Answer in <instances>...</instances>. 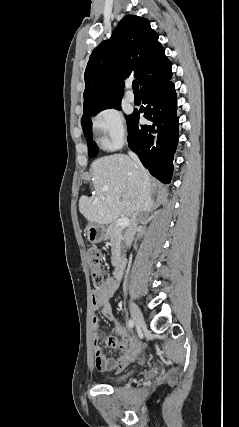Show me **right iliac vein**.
Listing matches in <instances>:
<instances>
[{"label": "right iliac vein", "instance_id": "obj_1", "mask_svg": "<svg viewBox=\"0 0 239 427\" xmlns=\"http://www.w3.org/2000/svg\"><path fill=\"white\" fill-rule=\"evenodd\" d=\"M130 312L136 326L142 327L144 325L143 314L140 308L133 302H130Z\"/></svg>", "mask_w": 239, "mask_h": 427}]
</instances>
